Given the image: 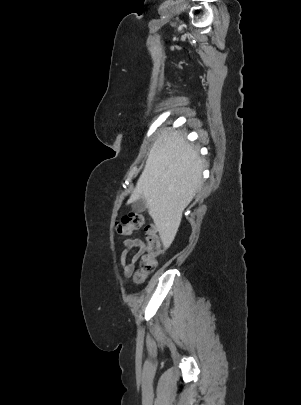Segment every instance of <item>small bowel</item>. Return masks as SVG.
Instances as JSON below:
<instances>
[{
    "mask_svg": "<svg viewBox=\"0 0 301 405\" xmlns=\"http://www.w3.org/2000/svg\"><path fill=\"white\" fill-rule=\"evenodd\" d=\"M124 244V249L122 250L120 254V263L123 268V273L125 276L129 277L134 269L135 265L137 262V259L142 253L143 247H144V242L140 238H127L123 242ZM131 249H136L135 254L129 259L128 262H126V257L128 255L129 250Z\"/></svg>",
    "mask_w": 301,
    "mask_h": 405,
    "instance_id": "small-bowel-1",
    "label": "small bowel"
}]
</instances>
